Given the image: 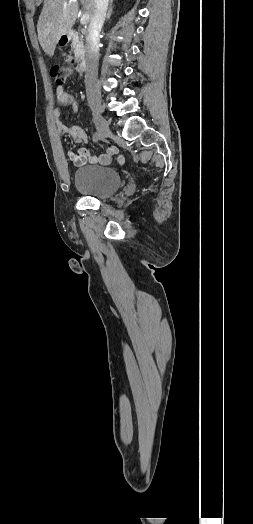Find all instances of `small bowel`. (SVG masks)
Masks as SVG:
<instances>
[{
  "label": "small bowel",
  "instance_id": "obj_1",
  "mask_svg": "<svg viewBox=\"0 0 253 524\" xmlns=\"http://www.w3.org/2000/svg\"><path fill=\"white\" fill-rule=\"evenodd\" d=\"M57 101L62 106H71L73 111H78L77 102L72 94L67 93L63 88L55 90ZM53 117L57 126V130L62 140L68 142L73 139L75 143L85 145L88 141L87 133L84 129L78 126H66L62 120V112L59 108L54 109ZM69 160L75 166H84L86 164H101L108 165L111 162L112 156L116 154L117 148L111 146L106 153L100 156H93L86 147H81L78 152L72 151L66 147Z\"/></svg>",
  "mask_w": 253,
  "mask_h": 524
}]
</instances>
